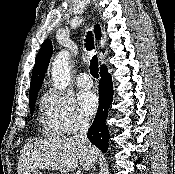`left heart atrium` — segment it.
Segmentation results:
<instances>
[{"label":"left heart atrium","instance_id":"1","mask_svg":"<svg viewBox=\"0 0 175 174\" xmlns=\"http://www.w3.org/2000/svg\"><path fill=\"white\" fill-rule=\"evenodd\" d=\"M79 104L86 115H93L98 107V98L92 91H82L78 94Z\"/></svg>","mask_w":175,"mask_h":174}]
</instances>
